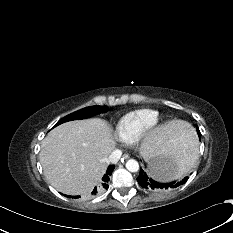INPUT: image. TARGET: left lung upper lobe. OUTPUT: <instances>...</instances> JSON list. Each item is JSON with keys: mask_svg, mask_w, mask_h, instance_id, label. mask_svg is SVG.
Masks as SVG:
<instances>
[{"mask_svg": "<svg viewBox=\"0 0 233 233\" xmlns=\"http://www.w3.org/2000/svg\"><path fill=\"white\" fill-rule=\"evenodd\" d=\"M197 130H198V132L200 133V131H199V128L197 127ZM199 135V134H198Z\"/></svg>", "mask_w": 233, "mask_h": 233, "instance_id": "5c2ea615", "label": "left lung upper lobe"}]
</instances>
